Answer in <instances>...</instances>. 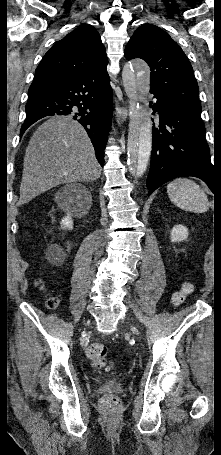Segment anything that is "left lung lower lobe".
Here are the masks:
<instances>
[{"label":"left lung lower lobe","mask_w":221,"mask_h":455,"mask_svg":"<svg viewBox=\"0 0 221 455\" xmlns=\"http://www.w3.org/2000/svg\"><path fill=\"white\" fill-rule=\"evenodd\" d=\"M150 93L157 99L153 114H159V128L153 126L148 195L181 176L198 177L214 192L216 171L204 138L201 113L186 109L156 92Z\"/></svg>","instance_id":"left-lung-lower-lobe-1"}]
</instances>
